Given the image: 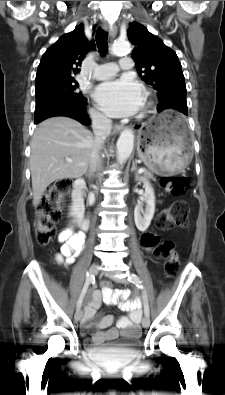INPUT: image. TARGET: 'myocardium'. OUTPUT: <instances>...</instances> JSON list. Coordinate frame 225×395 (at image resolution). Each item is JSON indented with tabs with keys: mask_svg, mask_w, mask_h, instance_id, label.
<instances>
[{
	"mask_svg": "<svg viewBox=\"0 0 225 395\" xmlns=\"http://www.w3.org/2000/svg\"><path fill=\"white\" fill-rule=\"evenodd\" d=\"M150 106H151V100L149 97V93L147 91H144V97L141 106V115H144L148 111Z\"/></svg>",
	"mask_w": 225,
	"mask_h": 395,
	"instance_id": "1",
	"label": "myocardium"
}]
</instances>
